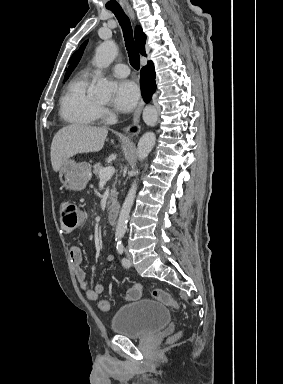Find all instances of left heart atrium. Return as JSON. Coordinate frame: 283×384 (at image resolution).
I'll return each mask as SVG.
<instances>
[{"label": "left heart atrium", "mask_w": 283, "mask_h": 384, "mask_svg": "<svg viewBox=\"0 0 283 384\" xmlns=\"http://www.w3.org/2000/svg\"><path fill=\"white\" fill-rule=\"evenodd\" d=\"M139 99V89L132 81L121 80L115 84L113 105L122 112L131 111Z\"/></svg>", "instance_id": "left-heart-atrium-1"}]
</instances>
